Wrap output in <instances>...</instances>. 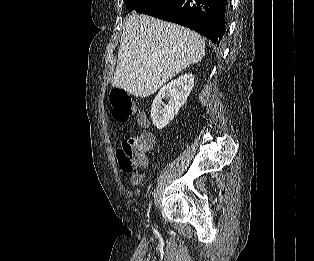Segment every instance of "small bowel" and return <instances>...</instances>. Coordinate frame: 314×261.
Wrapping results in <instances>:
<instances>
[{
	"mask_svg": "<svg viewBox=\"0 0 314 261\" xmlns=\"http://www.w3.org/2000/svg\"><path fill=\"white\" fill-rule=\"evenodd\" d=\"M140 121H141V123H142L143 125H146V124H147V120H146V118H145L144 116H141V117H140ZM147 164H148V159H147L146 154H144V155L142 156V162H141V165L139 166V168H145V167L147 166Z\"/></svg>",
	"mask_w": 314,
	"mask_h": 261,
	"instance_id": "obj_1",
	"label": "small bowel"
}]
</instances>
